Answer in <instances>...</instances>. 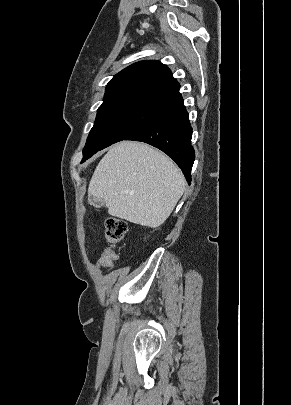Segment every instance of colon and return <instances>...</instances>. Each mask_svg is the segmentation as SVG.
I'll return each instance as SVG.
<instances>
[{
	"mask_svg": "<svg viewBox=\"0 0 291 405\" xmlns=\"http://www.w3.org/2000/svg\"><path fill=\"white\" fill-rule=\"evenodd\" d=\"M105 233L109 246L102 251L98 260V266L109 268L118 259L114 246L125 237L127 225L122 219L109 217L105 221Z\"/></svg>",
	"mask_w": 291,
	"mask_h": 405,
	"instance_id": "1",
	"label": "colon"
}]
</instances>
